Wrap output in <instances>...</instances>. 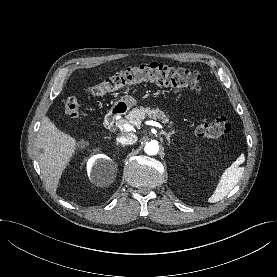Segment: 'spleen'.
<instances>
[{
	"label": "spleen",
	"instance_id": "3e777b00",
	"mask_svg": "<svg viewBox=\"0 0 277 277\" xmlns=\"http://www.w3.org/2000/svg\"><path fill=\"white\" fill-rule=\"evenodd\" d=\"M243 172L244 168L238 167L235 163L227 168L222 174L214 193L208 199V202L215 203L227 196V194L238 184Z\"/></svg>",
	"mask_w": 277,
	"mask_h": 277
}]
</instances>
